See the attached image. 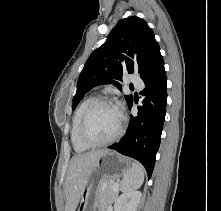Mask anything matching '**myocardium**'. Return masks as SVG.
I'll list each match as a JSON object with an SVG mask.
<instances>
[{"label":"myocardium","instance_id":"obj_1","mask_svg":"<svg viewBox=\"0 0 221 211\" xmlns=\"http://www.w3.org/2000/svg\"><path fill=\"white\" fill-rule=\"evenodd\" d=\"M101 105H110V106L116 107L119 110L120 125H119L117 132L113 136H111L110 138L103 140V141H93L87 136L86 126H87V122H88L90 114L93 112V110L95 108H97L98 106H101ZM125 124H126L125 115L116 106V104L112 100H110L108 98H97L86 108V110L84 111V113L82 115V118L80 121V127H79L80 138L85 144L89 145L90 147L108 145V144L115 142L116 140H118L121 137V135L124 132Z\"/></svg>","mask_w":221,"mask_h":211}]
</instances>
